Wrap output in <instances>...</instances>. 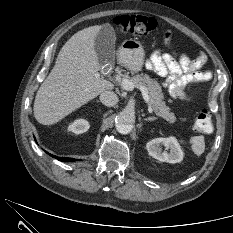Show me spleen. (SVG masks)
I'll use <instances>...</instances> for the list:
<instances>
[{
  "mask_svg": "<svg viewBox=\"0 0 233 233\" xmlns=\"http://www.w3.org/2000/svg\"><path fill=\"white\" fill-rule=\"evenodd\" d=\"M192 151L195 155L200 156L205 151L204 136H193L190 139Z\"/></svg>",
  "mask_w": 233,
  "mask_h": 233,
  "instance_id": "obj_1",
  "label": "spleen"
}]
</instances>
